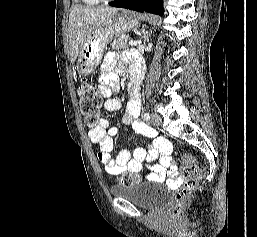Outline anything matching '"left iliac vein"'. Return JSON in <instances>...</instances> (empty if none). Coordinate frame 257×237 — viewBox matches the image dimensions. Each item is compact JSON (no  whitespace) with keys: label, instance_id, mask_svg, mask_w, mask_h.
<instances>
[{"label":"left iliac vein","instance_id":"1","mask_svg":"<svg viewBox=\"0 0 257 237\" xmlns=\"http://www.w3.org/2000/svg\"><path fill=\"white\" fill-rule=\"evenodd\" d=\"M151 123L153 126H159L161 124V117L158 114H152Z\"/></svg>","mask_w":257,"mask_h":237}]
</instances>
